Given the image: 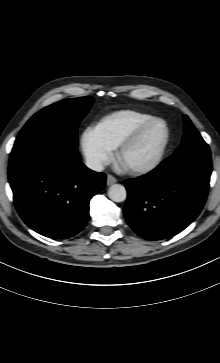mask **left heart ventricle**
Masks as SVG:
<instances>
[{"instance_id":"1","label":"left heart ventricle","mask_w":220,"mask_h":363,"mask_svg":"<svg viewBox=\"0 0 220 363\" xmlns=\"http://www.w3.org/2000/svg\"><path fill=\"white\" fill-rule=\"evenodd\" d=\"M165 137L164 124L158 122L147 129L139 140L121 157L120 162L127 168L145 164L156 155Z\"/></svg>"}]
</instances>
